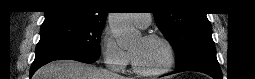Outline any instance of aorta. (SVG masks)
Here are the masks:
<instances>
[{
	"label": "aorta",
	"instance_id": "1",
	"mask_svg": "<svg viewBox=\"0 0 255 79\" xmlns=\"http://www.w3.org/2000/svg\"><path fill=\"white\" fill-rule=\"evenodd\" d=\"M109 25L120 47H129L140 37L130 23L128 13H111Z\"/></svg>",
	"mask_w": 255,
	"mask_h": 79
}]
</instances>
